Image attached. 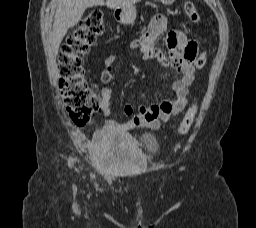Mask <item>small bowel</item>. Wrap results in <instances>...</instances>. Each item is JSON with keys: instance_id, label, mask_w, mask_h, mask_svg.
I'll list each match as a JSON object with an SVG mask.
<instances>
[{"instance_id": "1", "label": "small bowel", "mask_w": 256, "mask_h": 228, "mask_svg": "<svg viewBox=\"0 0 256 228\" xmlns=\"http://www.w3.org/2000/svg\"><path fill=\"white\" fill-rule=\"evenodd\" d=\"M168 26V19L162 15H155L147 30L137 39L130 42L131 50L140 53L143 59H156L162 66L171 67L180 73L172 85L175 94L173 100H163L159 104L140 105L139 111L134 112L131 104L123 107L124 114L129 118L126 122L120 123L113 119L105 123L97 130V136L107 133H124L134 128L144 127L153 130L161 128L163 122L169 121L174 115L182 112L187 105L189 86L195 79L194 59L197 56L198 47L195 41L189 40L179 30H171L167 33L165 45L168 54H165L156 47V41ZM116 57L109 55L105 58V69L101 73V81L104 84L110 83L114 78V67ZM112 90L108 87L101 89V110L106 116H110Z\"/></svg>"}]
</instances>
